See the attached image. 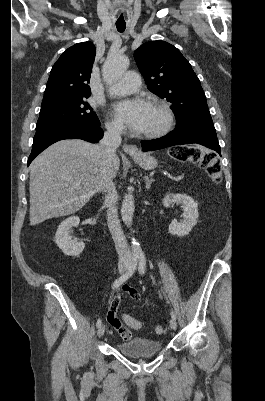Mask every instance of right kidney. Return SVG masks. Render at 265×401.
Wrapping results in <instances>:
<instances>
[{"instance_id": "obj_1", "label": "right kidney", "mask_w": 265, "mask_h": 401, "mask_svg": "<svg viewBox=\"0 0 265 401\" xmlns=\"http://www.w3.org/2000/svg\"><path fill=\"white\" fill-rule=\"evenodd\" d=\"M79 223V217H68L59 225L56 231L55 243L63 251L64 255H68V257H77L85 247L83 241H72V237H70L71 227H77Z\"/></svg>"}]
</instances>
